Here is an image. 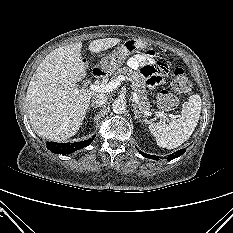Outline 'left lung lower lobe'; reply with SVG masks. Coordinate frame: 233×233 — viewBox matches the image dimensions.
I'll use <instances>...</instances> for the list:
<instances>
[{"label": "left lung lower lobe", "instance_id": "obj_1", "mask_svg": "<svg viewBox=\"0 0 233 233\" xmlns=\"http://www.w3.org/2000/svg\"><path fill=\"white\" fill-rule=\"evenodd\" d=\"M183 153H185V149H181V150H179V151H177V152H175V153H173V154L168 155L167 160H173V159H175V158L181 156ZM140 154H141L142 156H144L145 158H150V159H154V160H158V159H159L158 156L149 155V154H146V153H144V152H142V151H140Z\"/></svg>", "mask_w": 233, "mask_h": 233}]
</instances>
